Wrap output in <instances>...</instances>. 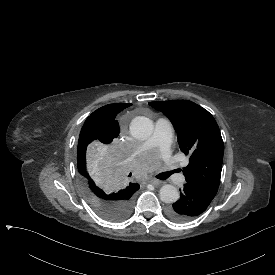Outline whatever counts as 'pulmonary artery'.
<instances>
[{"label": "pulmonary artery", "mask_w": 275, "mask_h": 275, "mask_svg": "<svg viewBox=\"0 0 275 275\" xmlns=\"http://www.w3.org/2000/svg\"><path fill=\"white\" fill-rule=\"evenodd\" d=\"M155 127V133L150 137L149 141L141 145L137 151L128 157L129 162H132L142 152H148L152 147H157L160 142L162 151L165 154H172L175 151V131L170 127V122L165 117H158L155 120Z\"/></svg>", "instance_id": "1"}]
</instances>
